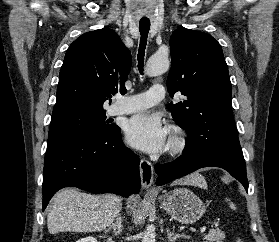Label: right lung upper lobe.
<instances>
[{
  "label": "right lung upper lobe",
  "mask_w": 279,
  "mask_h": 242,
  "mask_svg": "<svg viewBox=\"0 0 279 242\" xmlns=\"http://www.w3.org/2000/svg\"><path fill=\"white\" fill-rule=\"evenodd\" d=\"M131 68V53L109 28L87 32L68 48L59 74L53 114L104 111L103 103L123 92Z\"/></svg>",
  "instance_id": "1"
}]
</instances>
